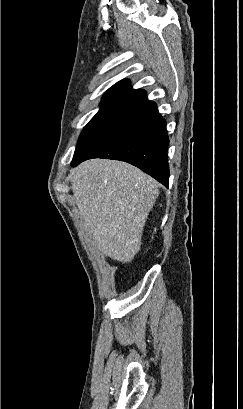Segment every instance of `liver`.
<instances>
[{
    "mask_svg": "<svg viewBox=\"0 0 243 409\" xmlns=\"http://www.w3.org/2000/svg\"><path fill=\"white\" fill-rule=\"evenodd\" d=\"M74 203L93 244L114 260L130 262L159 194L157 182L121 161L91 159L70 171Z\"/></svg>",
    "mask_w": 243,
    "mask_h": 409,
    "instance_id": "obj_1",
    "label": "liver"
}]
</instances>
